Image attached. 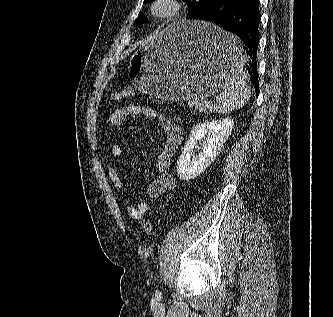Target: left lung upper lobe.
I'll use <instances>...</instances> for the list:
<instances>
[{"label": "left lung upper lobe", "mask_w": 333, "mask_h": 317, "mask_svg": "<svg viewBox=\"0 0 333 317\" xmlns=\"http://www.w3.org/2000/svg\"><path fill=\"white\" fill-rule=\"evenodd\" d=\"M152 0H144V2H150ZM187 3L189 10L187 14V18L190 17L192 14L202 10L206 6H208L213 0H183ZM147 21L146 18H144L142 13H139L136 22L137 23H145Z\"/></svg>", "instance_id": "obj_1"}]
</instances>
